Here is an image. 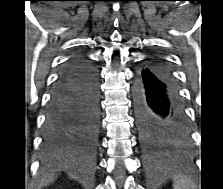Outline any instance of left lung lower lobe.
Segmentation results:
<instances>
[{
	"instance_id": "1",
	"label": "left lung lower lobe",
	"mask_w": 223,
	"mask_h": 189,
	"mask_svg": "<svg viewBox=\"0 0 223 189\" xmlns=\"http://www.w3.org/2000/svg\"><path fill=\"white\" fill-rule=\"evenodd\" d=\"M134 101L138 126H164L175 137L188 140V123L178 86L161 60L151 59L138 70Z\"/></svg>"
}]
</instances>
